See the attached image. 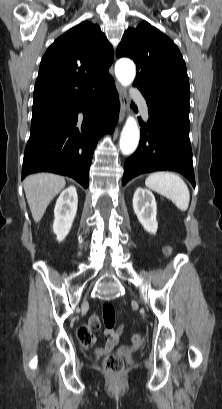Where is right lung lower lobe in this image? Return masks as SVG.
<instances>
[{
  "label": "right lung lower lobe",
  "instance_id": "1",
  "mask_svg": "<svg viewBox=\"0 0 222 409\" xmlns=\"http://www.w3.org/2000/svg\"><path fill=\"white\" fill-rule=\"evenodd\" d=\"M119 108L114 80L109 76L76 99L33 110L22 179L45 171L72 177L87 188L94 149L104 133L113 132ZM80 112L85 116H79Z\"/></svg>",
  "mask_w": 222,
  "mask_h": 409
}]
</instances>
